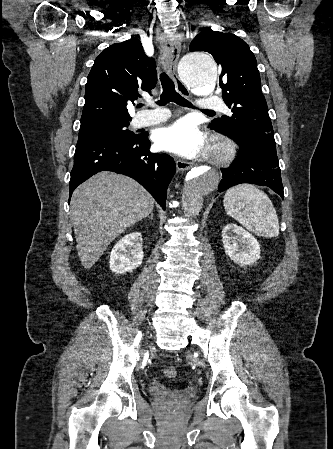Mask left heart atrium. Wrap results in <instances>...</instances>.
Masks as SVG:
<instances>
[{
    "label": "left heart atrium",
    "instance_id": "obj_1",
    "mask_svg": "<svg viewBox=\"0 0 333 449\" xmlns=\"http://www.w3.org/2000/svg\"><path fill=\"white\" fill-rule=\"evenodd\" d=\"M157 145L186 158H195L205 149V137L189 119H180L155 133Z\"/></svg>",
    "mask_w": 333,
    "mask_h": 449
}]
</instances>
